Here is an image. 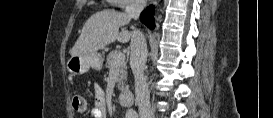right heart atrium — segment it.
<instances>
[{"mask_svg": "<svg viewBox=\"0 0 273 118\" xmlns=\"http://www.w3.org/2000/svg\"><path fill=\"white\" fill-rule=\"evenodd\" d=\"M115 3L123 9H127L130 7L135 6V1L134 0H115Z\"/></svg>", "mask_w": 273, "mask_h": 118, "instance_id": "1", "label": "right heart atrium"}]
</instances>
